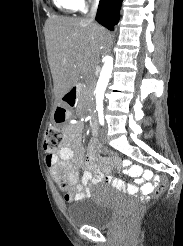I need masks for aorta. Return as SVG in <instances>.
I'll list each match as a JSON object with an SVG mask.
<instances>
[{
    "mask_svg": "<svg viewBox=\"0 0 183 246\" xmlns=\"http://www.w3.org/2000/svg\"><path fill=\"white\" fill-rule=\"evenodd\" d=\"M113 70V58L109 55L104 58V65L100 72V76L96 85V109H103V100L106 87L108 85L109 79L111 77Z\"/></svg>",
    "mask_w": 183,
    "mask_h": 246,
    "instance_id": "obj_1",
    "label": "aorta"
}]
</instances>
